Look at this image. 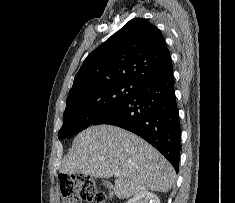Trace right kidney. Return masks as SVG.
I'll use <instances>...</instances> for the list:
<instances>
[{
    "instance_id": "right-kidney-1",
    "label": "right kidney",
    "mask_w": 235,
    "mask_h": 203,
    "mask_svg": "<svg viewBox=\"0 0 235 203\" xmlns=\"http://www.w3.org/2000/svg\"><path fill=\"white\" fill-rule=\"evenodd\" d=\"M126 203H160V199L152 192L143 191L136 194L133 198Z\"/></svg>"
}]
</instances>
